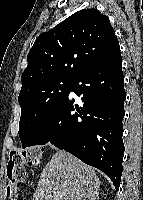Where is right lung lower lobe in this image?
<instances>
[{"mask_svg": "<svg viewBox=\"0 0 143 200\" xmlns=\"http://www.w3.org/2000/svg\"><path fill=\"white\" fill-rule=\"evenodd\" d=\"M73 91L79 99L69 96ZM120 47L83 69L65 98L46 118L28 146L51 143L110 177L116 189L122 175L125 115Z\"/></svg>", "mask_w": 143, "mask_h": 200, "instance_id": "obj_1", "label": "right lung lower lobe"}]
</instances>
